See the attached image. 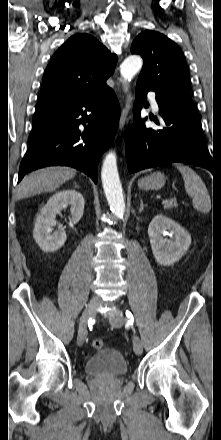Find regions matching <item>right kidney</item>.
I'll return each instance as SVG.
<instances>
[{"label":"right kidney","mask_w":221,"mask_h":440,"mask_svg":"<svg viewBox=\"0 0 221 440\" xmlns=\"http://www.w3.org/2000/svg\"><path fill=\"white\" fill-rule=\"evenodd\" d=\"M84 198L76 190L66 189L56 192L37 216L33 237L44 252H54L66 242V232L62 227L53 232L56 226V215L67 206L71 207L70 223L80 221L84 212Z\"/></svg>","instance_id":"obj_1"}]
</instances>
